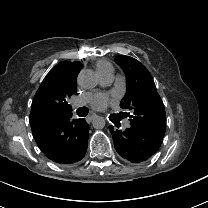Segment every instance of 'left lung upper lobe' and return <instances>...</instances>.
Wrapping results in <instances>:
<instances>
[{
  "mask_svg": "<svg viewBox=\"0 0 208 208\" xmlns=\"http://www.w3.org/2000/svg\"><path fill=\"white\" fill-rule=\"evenodd\" d=\"M115 61L124 70L127 79V91L120 106L132 112L131 115L127 113L130 123L164 137L165 109L151 74L132 57L119 55Z\"/></svg>",
  "mask_w": 208,
  "mask_h": 208,
  "instance_id": "left-lung-upper-lobe-1",
  "label": "left lung upper lobe"
}]
</instances>
